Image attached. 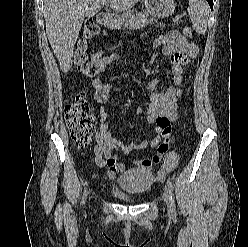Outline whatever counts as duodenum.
<instances>
[{
    "label": "duodenum",
    "mask_w": 248,
    "mask_h": 247,
    "mask_svg": "<svg viewBox=\"0 0 248 247\" xmlns=\"http://www.w3.org/2000/svg\"><path fill=\"white\" fill-rule=\"evenodd\" d=\"M98 19L99 22L103 25H108L112 21V18L108 13L99 14Z\"/></svg>",
    "instance_id": "obj_1"
}]
</instances>
